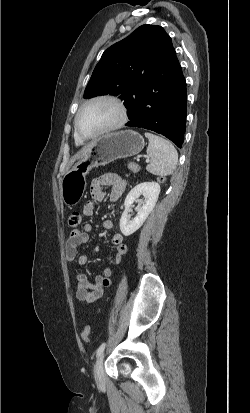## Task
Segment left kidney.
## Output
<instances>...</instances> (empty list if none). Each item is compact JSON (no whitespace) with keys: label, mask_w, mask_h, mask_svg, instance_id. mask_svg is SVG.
Here are the masks:
<instances>
[{"label":"left kidney","mask_w":250,"mask_h":413,"mask_svg":"<svg viewBox=\"0 0 250 413\" xmlns=\"http://www.w3.org/2000/svg\"><path fill=\"white\" fill-rule=\"evenodd\" d=\"M160 193V185L156 182H143L136 185L126 196L124 201L125 210L120 219V230L123 235L129 236L137 231L145 222L151 211L153 210ZM141 195L144 199L142 205H138L137 215L132 220H129L128 211L135 200Z\"/></svg>","instance_id":"1"}]
</instances>
